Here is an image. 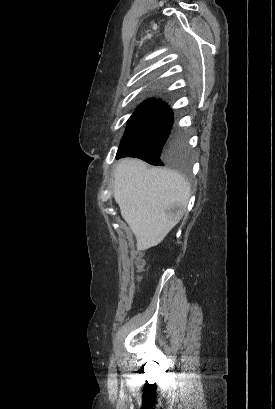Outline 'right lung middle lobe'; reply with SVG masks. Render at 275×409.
I'll return each instance as SVG.
<instances>
[{
    "label": "right lung middle lobe",
    "instance_id": "obj_1",
    "mask_svg": "<svg viewBox=\"0 0 275 409\" xmlns=\"http://www.w3.org/2000/svg\"><path fill=\"white\" fill-rule=\"evenodd\" d=\"M157 78L165 73L157 71ZM136 157L149 164L172 167L174 176H192V151L187 147L186 134L174 126V114L166 103L150 99L140 105L128 120L116 158ZM196 182L197 178H188Z\"/></svg>",
    "mask_w": 275,
    "mask_h": 409
}]
</instances>
